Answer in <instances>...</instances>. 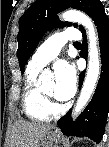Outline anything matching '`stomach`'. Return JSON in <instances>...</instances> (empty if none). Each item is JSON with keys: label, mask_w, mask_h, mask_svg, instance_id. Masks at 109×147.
Here are the masks:
<instances>
[{"label": "stomach", "mask_w": 109, "mask_h": 147, "mask_svg": "<svg viewBox=\"0 0 109 147\" xmlns=\"http://www.w3.org/2000/svg\"><path fill=\"white\" fill-rule=\"evenodd\" d=\"M60 137V132L58 131V129H56L55 127L50 129L45 136L43 137V139L41 140V147H50L53 142L57 141L58 138Z\"/></svg>", "instance_id": "obj_1"}]
</instances>
